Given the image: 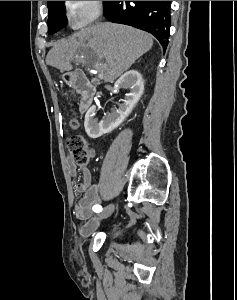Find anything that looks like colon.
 Listing matches in <instances>:
<instances>
[{
    "label": "colon",
    "instance_id": "colon-1",
    "mask_svg": "<svg viewBox=\"0 0 237 300\" xmlns=\"http://www.w3.org/2000/svg\"><path fill=\"white\" fill-rule=\"evenodd\" d=\"M66 147L77 165L85 166L88 164L87 143L81 135L71 136L66 142Z\"/></svg>",
    "mask_w": 237,
    "mask_h": 300
}]
</instances>
